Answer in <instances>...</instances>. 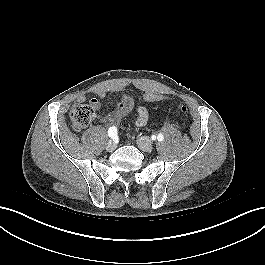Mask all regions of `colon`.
Segmentation results:
<instances>
[{"mask_svg": "<svg viewBox=\"0 0 265 265\" xmlns=\"http://www.w3.org/2000/svg\"><path fill=\"white\" fill-rule=\"evenodd\" d=\"M160 96L156 92H146L143 99L147 102H154L160 100ZM181 112H186V107L184 105L180 106ZM96 106L90 103H81L73 106L70 112V118L72 121V126L75 130L80 131L86 128L95 118Z\"/></svg>", "mask_w": 265, "mask_h": 265, "instance_id": "1", "label": "colon"}]
</instances>
